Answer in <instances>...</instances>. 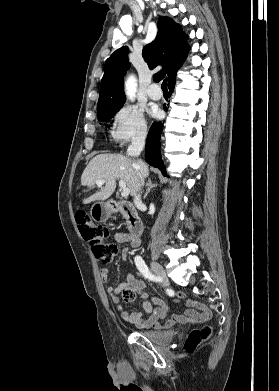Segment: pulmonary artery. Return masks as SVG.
Segmentation results:
<instances>
[{
    "label": "pulmonary artery",
    "mask_w": 279,
    "mask_h": 391,
    "mask_svg": "<svg viewBox=\"0 0 279 391\" xmlns=\"http://www.w3.org/2000/svg\"><path fill=\"white\" fill-rule=\"evenodd\" d=\"M149 98L159 100L162 97V92L158 89L157 84H151L147 90Z\"/></svg>",
    "instance_id": "obj_1"
}]
</instances>
